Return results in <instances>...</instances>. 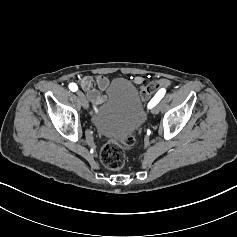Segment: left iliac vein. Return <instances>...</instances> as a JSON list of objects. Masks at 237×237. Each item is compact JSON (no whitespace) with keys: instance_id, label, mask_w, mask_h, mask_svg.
I'll use <instances>...</instances> for the list:
<instances>
[{"instance_id":"obj_1","label":"left iliac vein","mask_w":237,"mask_h":237,"mask_svg":"<svg viewBox=\"0 0 237 237\" xmlns=\"http://www.w3.org/2000/svg\"><path fill=\"white\" fill-rule=\"evenodd\" d=\"M159 110H160V107L159 105L155 106L153 109H152V113L153 114H158L159 113Z\"/></svg>"}]
</instances>
